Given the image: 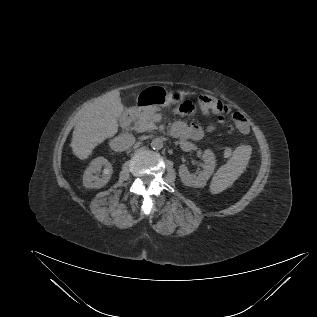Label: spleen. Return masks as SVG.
I'll return each instance as SVG.
<instances>
[{"instance_id": "spleen-1", "label": "spleen", "mask_w": 317, "mask_h": 317, "mask_svg": "<svg viewBox=\"0 0 317 317\" xmlns=\"http://www.w3.org/2000/svg\"><path fill=\"white\" fill-rule=\"evenodd\" d=\"M250 155L251 147H237L230 160L215 173L210 184V192L218 194L231 186L246 168Z\"/></svg>"}]
</instances>
